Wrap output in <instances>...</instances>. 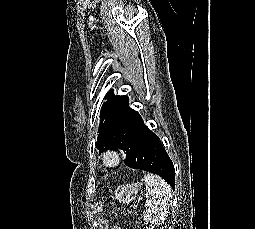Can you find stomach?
Segmentation results:
<instances>
[{
  "mask_svg": "<svg viewBox=\"0 0 255 229\" xmlns=\"http://www.w3.org/2000/svg\"><path fill=\"white\" fill-rule=\"evenodd\" d=\"M141 183H131L118 186L115 191V198L123 204H128L136 199Z\"/></svg>",
  "mask_w": 255,
  "mask_h": 229,
  "instance_id": "stomach-1",
  "label": "stomach"
}]
</instances>
